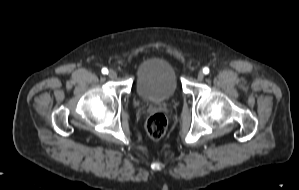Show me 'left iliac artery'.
Returning <instances> with one entry per match:
<instances>
[{
	"mask_svg": "<svg viewBox=\"0 0 299 190\" xmlns=\"http://www.w3.org/2000/svg\"><path fill=\"white\" fill-rule=\"evenodd\" d=\"M203 73L204 74H208L209 73V68L208 67H204L203 68Z\"/></svg>",
	"mask_w": 299,
	"mask_h": 190,
	"instance_id": "44dca946",
	"label": "left iliac artery"
}]
</instances>
